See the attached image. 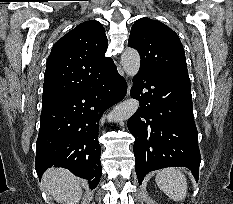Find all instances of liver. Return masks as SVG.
I'll list each match as a JSON object with an SVG mask.
<instances>
[{
    "label": "liver",
    "mask_w": 233,
    "mask_h": 204,
    "mask_svg": "<svg viewBox=\"0 0 233 204\" xmlns=\"http://www.w3.org/2000/svg\"><path fill=\"white\" fill-rule=\"evenodd\" d=\"M42 182L58 203L77 204L81 199L80 179L66 169L49 168Z\"/></svg>",
    "instance_id": "1"
}]
</instances>
